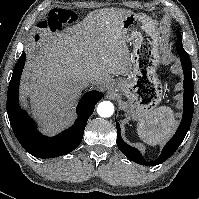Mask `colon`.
<instances>
[{
    "label": "colon",
    "mask_w": 199,
    "mask_h": 199,
    "mask_svg": "<svg viewBox=\"0 0 199 199\" xmlns=\"http://www.w3.org/2000/svg\"><path fill=\"white\" fill-rule=\"evenodd\" d=\"M74 21V13L68 9H58L51 11L42 21L41 27L49 31L57 30L65 24Z\"/></svg>",
    "instance_id": "colon-1"
}]
</instances>
